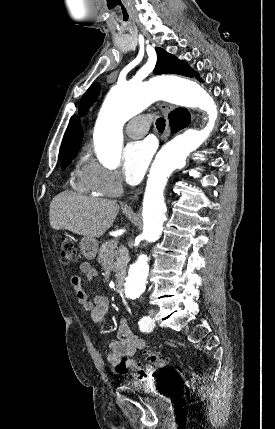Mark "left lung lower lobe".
Masks as SVG:
<instances>
[{
	"instance_id": "left-lung-lower-lobe-1",
	"label": "left lung lower lobe",
	"mask_w": 275,
	"mask_h": 429,
	"mask_svg": "<svg viewBox=\"0 0 275 429\" xmlns=\"http://www.w3.org/2000/svg\"><path fill=\"white\" fill-rule=\"evenodd\" d=\"M196 78H198L199 81H202L198 74H196Z\"/></svg>"
}]
</instances>
